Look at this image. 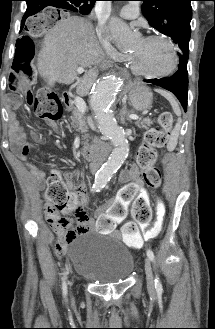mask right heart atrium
<instances>
[{"instance_id": "right-heart-atrium-1", "label": "right heart atrium", "mask_w": 215, "mask_h": 329, "mask_svg": "<svg viewBox=\"0 0 215 329\" xmlns=\"http://www.w3.org/2000/svg\"><path fill=\"white\" fill-rule=\"evenodd\" d=\"M96 34L104 49L112 58L117 60L124 59L125 56L114 46L111 34L102 22L97 23Z\"/></svg>"}]
</instances>
